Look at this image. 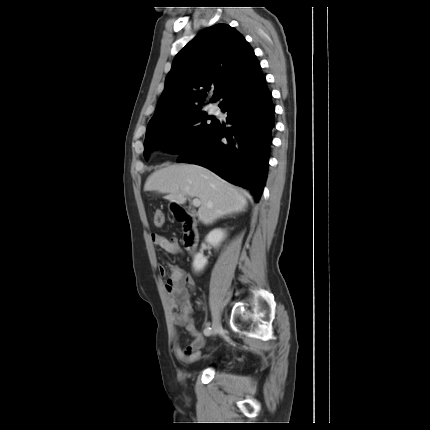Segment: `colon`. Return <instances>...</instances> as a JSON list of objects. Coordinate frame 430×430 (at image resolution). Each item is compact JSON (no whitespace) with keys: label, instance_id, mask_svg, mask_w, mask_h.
<instances>
[{"label":"colon","instance_id":"5ec220e1","mask_svg":"<svg viewBox=\"0 0 430 430\" xmlns=\"http://www.w3.org/2000/svg\"><path fill=\"white\" fill-rule=\"evenodd\" d=\"M165 221V215L164 212L161 209H157L154 212V224L156 226H162Z\"/></svg>","mask_w":430,"mask_h":430}]
</instances>
